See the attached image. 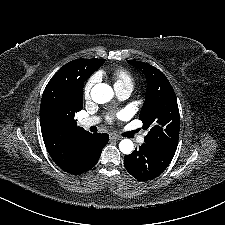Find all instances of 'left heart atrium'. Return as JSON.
<instances>
[{
    "mask_svg": "<svg viewBox=\"0 0 225 225\" xmlns=\"http://www.w3.org/2000/svg\"><path fill=\"white\" fill-rule=\"evenodd\" d=\"M114 117H115V118H118V119H124V118L126 117V114H125V112H123V111L117 112L114 116L109 117V118H108V121L111 122V120H112Z\"/></svg>",
    "mask_w": 225,
    "mask_h": 225,
    "instance_id": "obj_1",
    "label": "left heart atrium"
}]
</instances>
